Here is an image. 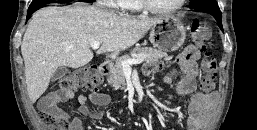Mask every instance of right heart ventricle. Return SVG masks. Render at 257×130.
Listing matches in <instances>:
<instances>
[{
    "mask_svg": "<svg viewBox=\"0 0 257 130\" xmlns=\"http://www.w3.org/2000/svg\"><path fill=\"white\" fill-rule=\"evenodd\" d=\"M119 2V8H121L124 12L138 13L142 11L137 0H120Z\"/></svg>",
    "mask_w": 257,
    "mask_h": 130,
    "instance_id": "right-heart-ventricle-1",
    "label": "right heart ventricle"
}]
</instances>
